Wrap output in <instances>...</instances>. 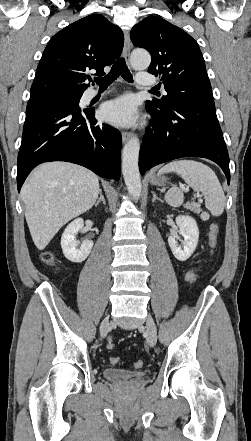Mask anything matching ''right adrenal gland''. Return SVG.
Returning <instances> with one entry per match:
<instances>
[{
  "mask_svg": "<svg viewBox=\"0 0 251 441\" xmlns=\"http://www.w3.org/2000/svg\"><path fill=\"white\" fill-rule=\"evenodd\" d=\"M99 195H100V197L98 198V200H97V202L95 204V207H97L100 202H102L104 205L106 204V201H105L104 196L102 194V189H100Z\"/></svg>",
  "mask_w": 251,
  "mask_h": 441,
  "instance_id": "right-adrenal-gland-1",
  "label": "right adrenal gland"
}]
</instances>
